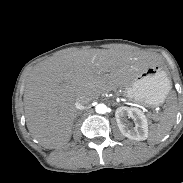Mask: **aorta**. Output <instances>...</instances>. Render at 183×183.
Listing matches in <instances>:
<instances>
[{
  "instance_id": "1",
  "label": "aorta",
  "mask_w": 183,
  "mask_h": 183,
  "mask_svg": "<svg viewBox=\"0 0 183 183\" xmlns=\"http://www.w3.org/2000/svg\"><path fill=\"white\" fill-rule=\"evenodd\" d=\"M107 106L105 104H97L95 111L99 114H105L107 112Z\"/></svg>"
}]
</instances>
